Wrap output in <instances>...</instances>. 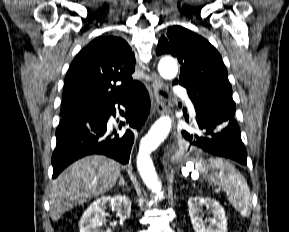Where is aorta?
<instances>
[{
    "label": "aorta",
    "instance_id": "obj_1",
    "mask_svg": "<svg viewBox=\"0 0 289 232\" xmlns=\"http://www.w3.org/2000/svg\"><path fill=\"white\" fill-rule=\"evenodd\" d=\"M158 70L163 78L173 79L178 73V66L173 59H163L159 63ZM171 125L172 121L168 116L157 120L147 135L142 138L137 156V168L142 180L159 198L163 197V192L150 153L164 141L170 132Z\"/></svg>",
    "mask_w": 289,
    "mask_h": 232
}]
</instances>
